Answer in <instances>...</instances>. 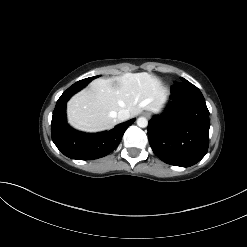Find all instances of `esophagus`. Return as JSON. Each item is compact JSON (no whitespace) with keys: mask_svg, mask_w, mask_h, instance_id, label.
Returning a JSON list of instances; mask_svg holds the SVG:
<instances>
[{"mask_svg":"<svg viewBox=\"0 0 247 247\" xmlns=\"http://www.w3.org/2000/svg\"><path fill=\"white\" fill-rule=\"evenodd\" d=\"M143 116H145V117H147V118L151 117V115H150L149 112H143Z\"/></svg>","mask_w":247,"mask_h":247,"instance_id":"34e87169","label":"esophagus"}]
</instances>
